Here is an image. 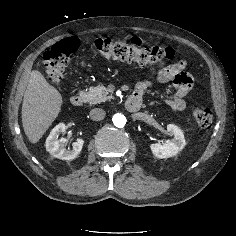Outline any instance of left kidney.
Returning <instances> with one entry per match:
<instances>
[{"label": "left kidney", "mask_w": 236, "mask_h": 236, "mask_svg": "<svg viewBox=\"0 0 236 236\" xmlns=\"http://www.w3.org/2000/svg\"><path fill=\"white\" fill-rule=\"evenodd\" d=\"M167 131L173 135L172 140H167L163 144L154 143L150 145L152 153L157 158L163 159L175 156L186 145L183 131L178 126L168 124Z\"/></svg>", "instance_id": "left-kidney-1"}]
</instances>
